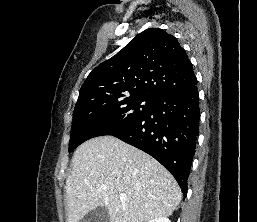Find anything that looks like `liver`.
<instances>
[{
    "instance_id": "1",
    "label": "liver",
    "mask_w": 257,
    "mask_h": 222,
    "mask_svg": "<svg viewBox=\"0 0 257 222\" xmlns=\"http://www.w3.org/2000/svg\"><path fill=\"white\" fill-rule=\"evenodd\" d=\"M71 168L65 187L67 222H79L100 206L107 208L110 222H148L172 215L181 201L180 187L167 169L113 136L80 145Z\"/></svg>"
}]
</instances>
